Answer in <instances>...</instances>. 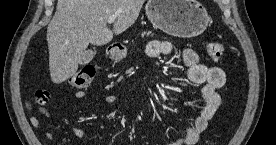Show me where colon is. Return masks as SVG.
<instances>
[{"label":"colon","instance_id":"1","mask_svg":"<svg viewBox=\"0 0 276 145\" xmlns=\"http://www.w3.org/2000/svg\"><path fill=\"white\" fill-rule=\"evenodd\" d=\"M205 51L214 61H220L225 53V46L216 41H209L205 44ZM95 77V68L92 65H86L72 74L68 80L69 84L75 88L88 87ZM49 102V94L43 90H37L34 94L33 103L43 111Z\"/></svg>","mask_w":276,"mask_h":145}]
</instances>
